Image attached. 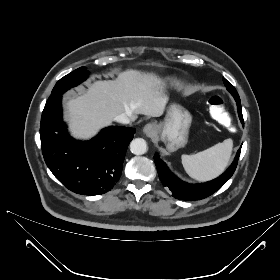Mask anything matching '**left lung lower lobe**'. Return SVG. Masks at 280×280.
<instances>
[{"label":"left lung lower lobe","instance_id":"obj_1","mask_svg":"<svg viewBox=\"0 0 280 280\" xmlns=\"http://www.w3.org/2000/svg\"><path fill=\"white\" fill-rule=\"evenodd\" d=\"M234 99L237 103L240 121L244 125L240 98ZM240 151L241 148L238 150L230 167L221 176L202 184H188L181 181L170 172L166 164L159 158L158 155H154V161L162 184L172 191L173 197L179 200L195 201L212 195L232 177L238 164Z\"/></svg>","mask_w":280,"mask_h":280}]
</instances>
